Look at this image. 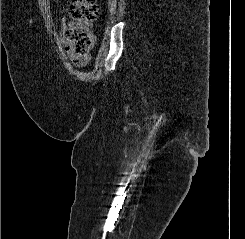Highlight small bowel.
<instances>
[{"mask_svg":"<svg viewBox=\"0 0 245 239\" xmlns=\"http://www.w3.org/2000/svg\"><path fill=\"white\" fill-rule=\"evenodd\" d=\"M67 26V18L63 17L61 20V35L64 36V31L66 29ZM68 53L70 54V59L72 61V63L76 66V67H85L87 66L90 61H91V56H76L74 55L71 50H69V48H67Z\"/></svg>","mask_w":245,"mask_h":239,"instance_id":"1","label":"small bowel"}]
</instances>
